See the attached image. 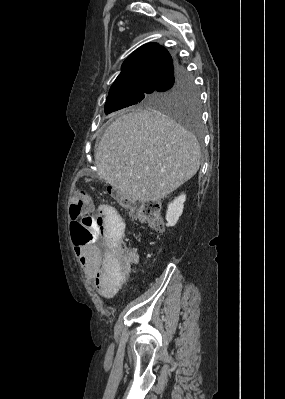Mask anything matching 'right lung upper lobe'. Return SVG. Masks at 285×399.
<instances>
[{
	"mask_svg": "<svg viewBox=\"0 0 285 399\" xmlns=\"http://www.w3.org/2000/svg\"><path fill=\"white\" fill-rule=\"evenodd\" d=\"M172 63L169 52L158 43L142 45L124 61L109 95L158 88Z\"/></svg>",
	"mask_w": 285,
	"mask_h": 399,
	"instance_id": "cb5924a9",
	"label": "right lung upper lobe"
}]
</instances>
